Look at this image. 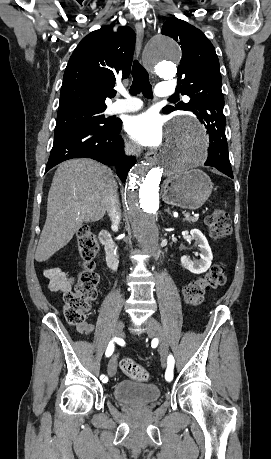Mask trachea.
<instances>
[{
    "label": "trachea",
    "mask_w": 271,
    "mask_h": 459,
    "mask_svg": "<svg viewBox=\"0 0 271 459\" xmlns=\"http://www.w3.org/2000/svg\"><path fill=\"white\" fill-rule=\"evenodd\" d=\"M132 77L133 82L130 87V94L137 95L138 93L142 92V94L151 99L152 94V86L149 82V75L145 68L138 62V60H134L132 65Z\"/></svg>",
    "instance_id": "trachea-1"
}]
</instances>
